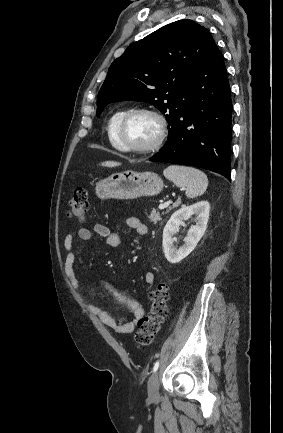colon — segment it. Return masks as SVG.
Masks as SVG:
<instances>
[{
    "mask_svg": "<svg viewBox=\"0 0 283 433\" xmlns=\"http://www.w3.org/2000/svg\"><path fill=\"white\" fill-rule=\"evenodd\" d=\"M89 210V194L85 188H77L69 201V215L83 221ZM151 308L138 323L135 345L139 348L150 346L168 315L169 288L159 284L149 295Z\"/></svg>",
    "mask_w": 283,
    "mask_h": 433,
    "instance_id": "colon-1",
    "label": "colon"
}]
</instances>
